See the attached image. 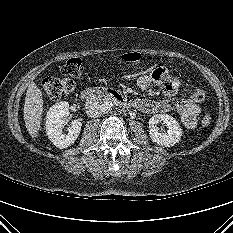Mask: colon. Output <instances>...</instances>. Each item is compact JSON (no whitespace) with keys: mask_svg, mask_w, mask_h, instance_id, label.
Masks as SVG:
<instances>
[{"mask_svg":"<svg viewBox=\"0 0 233 233\" xmlns=\"http://www.w3.org/2000/svg\"><path fill=\"white\" fill-rule=\"evenodd\" d=\"M122 60L128 63H137L142 60V56L137 52L125 53L121 56ZM149 59V58H147ZM62 73L65 77H47L42 80L41 87L43 91L52 99H59L68 96L75 87L74 79L81 77L83 73L82 61L79 58L69 59L62 67ZM205 92L201 89L195 90L191 94V101L200 103L205 99ZM211 116L205 114L201 119L202 126H209Z\"/></svg>","mask_w":233,"mask_h":233,"instance_id":"colon-1","label":"colon"}]
</instances>
